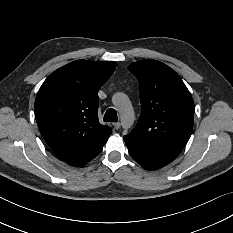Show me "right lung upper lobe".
<instances>
[{
    "label": "right lung upper lobe",
    "mask_w": 233,
    "mask_h": 233,
    "mask_svg": "<svg viewBox=\"0 0 233 233\" xmlns=\"http://www.w3.org/2000/svg\"><path fill=\"white\" fill-rule=\"evenodd\" d=\"M115 62L77 60L50 74L35 100L42 137L57 158L83 166L95 158L112 130L98 121V91Z\"/></svg>",
    "instance_id": "right-lung-upper-lobe-1"
}]
</instances>
